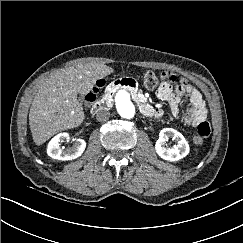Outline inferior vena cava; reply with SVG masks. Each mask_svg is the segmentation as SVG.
<instances>
[{
  "mask_svg": "<svg viewBox=\"0 0 243 243\" xmlns=\"http://www.w3.org/2000/svg\"><path fill=\"white\" fill-rule=\"evenodd\" d=\"M110 117V112L107 109H102L97 112L96 119L99 122L107 121Z\"/></svg>",
  "mask_w": 243,
  "mask_h": 243,
  "instance_id": "obj_1",
  "label": "inferior vena cava"
}]
</instances>
